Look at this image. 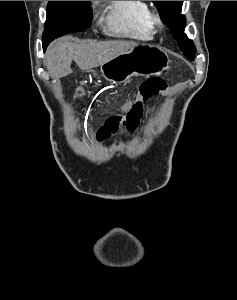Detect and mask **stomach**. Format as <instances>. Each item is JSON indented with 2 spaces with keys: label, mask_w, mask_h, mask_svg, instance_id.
Wrapping results in <instances>:
<instances>
[{
  "label": "stomach",
  "mask_w": 237,
  "mask_h": 300,
  "mask_svg": "<svg viewBox=\"0 0 237 300\" xmlns=\"http://www.w3.org/2000/svg\"><path fill=\"white\" fill-rule=\"evenodd\" d=\"M169 57L161 47L138 45L125 51L111 61L103 63L100 73L111 83H125L130 77H154L169 67Z\"/></svg>",
  "instance_id": "1"
}]
</instances>
